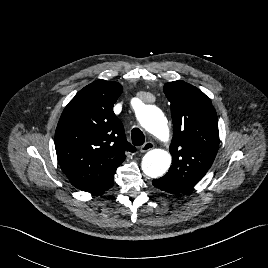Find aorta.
<instances>
[{
  "label": "aorta",
  "instance_id": "762f6f07",
  "mask_svg": "<svg viewBox=\"0 0 268 268\" xmlns=\"http://www.w3.org/2000/svg\"><path fill=\"white\" fill-rule=\"evenodd\" d=\"M141 126L150 134L161 141L169 139L167 119L163 112L156 106L144 105L136 114ZM171 165V155L161 149L148 151L141 163L142 171L151 178L163 176Z\"/></svg>",
  "mask_w": 268,
  "mask_h": 268
}]
</instances>
